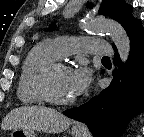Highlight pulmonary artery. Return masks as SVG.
Returning <instances> with one entry per match:
<instances>
[{"label":"pulmonary artery","mask_w":144,"mask_h":137,"mask_svg":"<svg viewBox=\"0 0 144 137\" xmlns=\"http://www.w3.org/2000/svg\"><path fill=\"white\" fill-rule=\"evenodd\" d=\"M53 49L58 57L68 56L75 52H88L93 54L110 55V45L103 40L83 37H57L52 41Z\"/></svg>","instance_id":"pulmonary-artery-1"}]
</instances>
